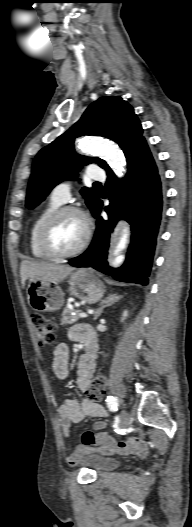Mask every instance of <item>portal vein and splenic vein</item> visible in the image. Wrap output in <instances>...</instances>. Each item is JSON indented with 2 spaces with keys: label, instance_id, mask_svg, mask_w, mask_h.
<instances>
[{
  "label": "portal vein and splenic vein",
  "instance_id": "obj_1",
  "mask_svg": "<svg viewBox=\"0 0 192 527\" xmlns=\"http://www.w3.org/2000/svg\"><path fill=\"white\" fill-rule=\"evenodd\" d=\"M78 315L80 318H86L88 316V314L85 312H80Z\"/></svg>",
  "mask_w": 192,
  "mask_h": 527
}]
</instances>
